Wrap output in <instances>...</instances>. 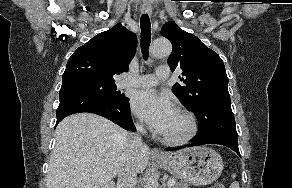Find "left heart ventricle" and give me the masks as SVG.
I'll use <instances>...</instances> for the list:
<instances>
[{
	"label": "left heart ventricle",
	"mask_w": 292,
	"mask_h": 188,
	"mask_svg": "<svg viewBox=\"0 0 292 188\" xmlns=\"http://www.w3.org/2000/svg\"><path fill=\"white\" fill-rule=\"evenodd\" d=\"M188 127L186 118L176 111L163 135L179 136L185 133L188 130Z\"/></svg>",
	"instance_id": "b2bd125f"
}]
</instances>
